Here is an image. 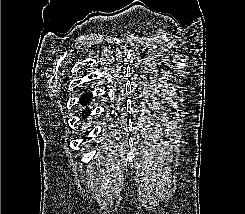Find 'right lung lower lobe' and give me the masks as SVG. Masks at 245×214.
<instances>
[{"label": "right lung lower lobe", "mask_w": 245, "mask_h": 214, "mask_svg": "<svg viewBox=\"0 0 245 214\" xmlns=\"http://www.w3.org/2000/svg\"><path fill=\"white\" fill-rule=\"evenodd\" d=\"M91 96H92L91 92L83 94V97L80 98V103L84 105L89 103L91 100ZM90 111H91L90 109L86 110V112L82 113V116L87 117L90 114Z\"/></svg>", "instance_id": "obj_1"}]
</instances>
